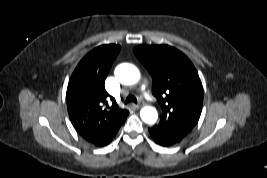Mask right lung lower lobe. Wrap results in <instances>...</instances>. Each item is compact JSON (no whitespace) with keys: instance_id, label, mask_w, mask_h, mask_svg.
<instances>
[{"instance_id":"1","label":"right lung lower lobe","mask_w":267,"mask_h":178,"mask_svg":"<svg viewBox=\"0 0 267 178\" xmlns=\"http://www.w3.org/2000/svg\"><path fill=\"white\" fill-rule=\"evenodd\" d=\"M119 128H120V127H119ZM119 128L116 129V130H115V131H114L108 138H106V139H104L102 142L97 143V144H94V145H95V146H100V147H102V146H106V145L110 144V143L112 142L113 138L116 136V134H117Z\"/></svg>"}]
</instances>
